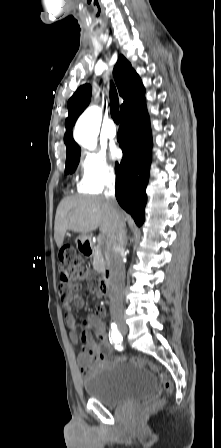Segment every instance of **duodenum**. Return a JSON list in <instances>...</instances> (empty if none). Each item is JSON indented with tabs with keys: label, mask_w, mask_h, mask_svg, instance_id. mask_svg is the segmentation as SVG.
<instances>
[{
	"label": "duodenum",
	"mask_w": 221,
	"mask_h": 448,
	"mask_svg": "<svg viewBox=\"0 0 221 448\" xmlns=\"http://www.w3.org/2000/svg\"><path fill=\"white\" fill-rule=\"evenodd\" d=\"M79 249L85 257H91L94 253L93 241L89 236H84L79 244ZM112 288L111 272L106 269L99 281V290L102 296L108 297Z\"/></svg>",
	"instance_id": "1"
}]
</instances>
